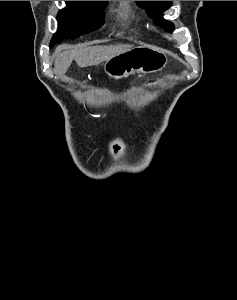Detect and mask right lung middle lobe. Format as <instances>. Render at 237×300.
<instances>
[{
    "mask_svg": "<svg viewBox=\"0 0 237 300\" xmlns=\"http://www.w3.org/2000/svg\"><path fill=\"white\" fill-rule=\"evenodd\" d=\"M66 8L57 16L58 31L50 42V48L64 39H75L103 25V9L108 1H65Z\"/></svg>",
    "mask_w": 237,
    "mask_h": 300,
    "instance_id": "obj_1",
    "label": "right lung middle lobe"
}]
</instances>
